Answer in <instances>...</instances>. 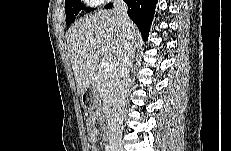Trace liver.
Masks as SVG:
<instances>
[{"label":"liver","mask_w":231,"mask_h":151,"mask_svg":"<svg viewBox=\"0 0 231 151\" xmlns=\"http://www.w3.org/2000/svg\"><path fill=\"white\" fill-rule=\"evenodd\" d=\"M130 29L136 47L140 34L132 22ZM66 38L78 96L83 95L94 80L101 48L107 50L104 56L113 62L116 71L126 42L114 10L85 15L69 28Z\"/></svg>","instance_id":"1"}]
</instances>
